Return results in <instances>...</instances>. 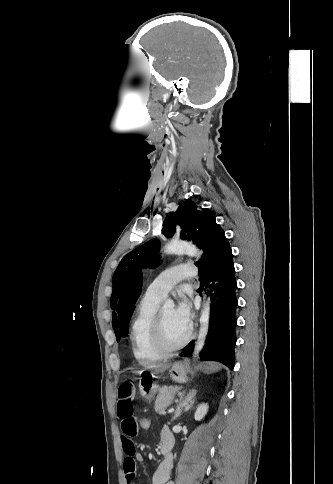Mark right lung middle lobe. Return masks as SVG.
I'll return each mask as SVG.
<instances>
[{
    "mask_svg": "<svg viewBox=\"0 0 333 484\" xmlns=\"http://www.w3.org/2000/svg\"><path fill=\"white\" fill-rule=\"evenodd\" d=\"M127 333H128V323H127V324H126V326H125V329H124V331H123V333H122V336H123V337H126V336H127Z\"/></svg>",
    "mask_w": 333,
    "mask_h": 484,
    "instance_id": "1",
    "label": "right lung middle lobe"
}]
</instances>
